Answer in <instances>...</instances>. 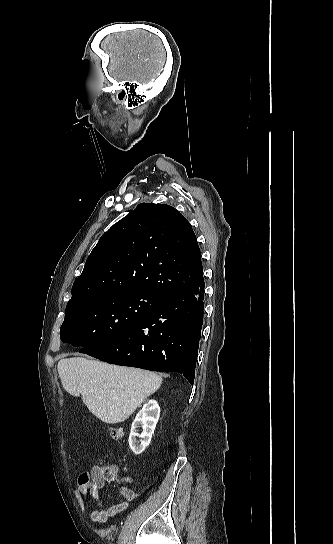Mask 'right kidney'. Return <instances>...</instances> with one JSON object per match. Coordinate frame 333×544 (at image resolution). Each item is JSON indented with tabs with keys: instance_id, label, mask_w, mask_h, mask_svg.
I'll return each mask as SVG.
<instances>
[{
	"instance_id": "1",
	"label": "right kidney",
	"mask_w": 333,
	"mask_h": 544,
	"mask_svg": "<svg viewBox=\"0 0 333 544\" xmlns=\"http://www.w3.org/2000/svg\"><path fill=\"white\" fill-rule=\"evenodd\" d=\"M160 417V407L156 400H149L137 413L132 422L129 436V446L135 455L141 454L150 444L156 424ZM142 426L143 432L139 435L136 428ZM140 437V442L136 439Z\"/></svg>"
}]
</instances>
